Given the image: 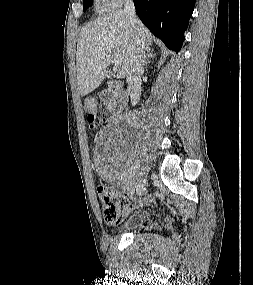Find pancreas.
I'll list each match as a JSON object with an SVG mask.
<instances>
[{"label": "pancreas", "mask_w": 253, "mask_h": 285, "mask_svg": "<svg viewBox=\"0 0 253 285\" xmlns=\"http://www.w3.org/2000/svg\"><path fill=\"white\" fill-rule=\"evenodd\" d=\"M121 95H122V92H121L119 87H113L112 88V96H113V98H116V97L121 96Z\"/></svg>", "instance_id": "obj_1"}]
</instances>
